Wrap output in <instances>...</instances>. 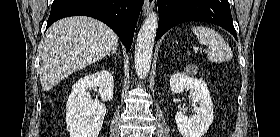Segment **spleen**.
<instances>
[{
  "instance_id": "spleen-1",
  "label": "spleen",
  "mask_w": 280,
  "mask_h": 137,
  "mask_svg": "<svg viewBox=\"0 0 280 137\" xmlns=\"http://www.w3.org/2000/svg\"><path fill=\"white\" fill-rule=\"evenodd\" d=\"M192 31L199 43L209 47L208 58L212 62L222 63L232 59L233 53L230 46L215 29L193 26Z\"/></svg>"
}]
</instances>
